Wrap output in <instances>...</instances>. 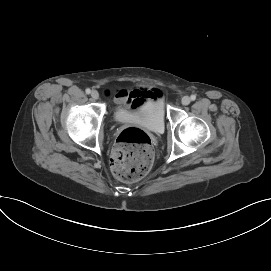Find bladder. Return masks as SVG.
I'll return each mask as SVG.
<instances>
[{
  "label": "bladder",
  "instance_id": "31cf9c89",
  "mask_svg": "<svg viewBox=\"0 0 271 271\" xmlns=\"http://www.w3.org/2000/svg\"><path fill=\"white\" fill-rule=\"evenodd\" d=\"M113 117L118 123H140L156 133L162 132L165 127L164 105L161 98L147 100L138 108L120 105L114 110Z\"/></svg>",
  "mask_w": 271,
  "mask_h": 271
}]
</instances>
